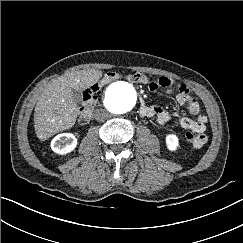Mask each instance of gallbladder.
Wrapping results in <instances>:
<instances>
[{
	"label": "gallbladder",
	"instance_id": "1",
	"mask_svg": "<svg viewBox=\"0 0 243 243\" xmlns=\"http://www.w3.org/2000/svg\"><path fill=\"white\" fill-rule=\"evenodd\" d=\"M73 99L76 103L82 101V92L80 90H73Z\"/></svg>",
	"mask_w": 243,
	"mask_h": 243
}]
</instances>
